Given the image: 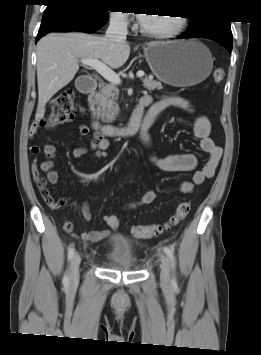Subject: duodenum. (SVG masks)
<instances>
[{
  "label": "duodenum",
  "mask_w": 261,
  "mask_h": 355,
  "mask_svg": "<svg viewBox=\"0 0 261 355\" xmlns=\"http://www.w3.org/2000/svg\"><path fill=\"white\" fill-rule=\"evenodd\" d=\"M98 84L96 80L88 76L82 77L77 82V89L81 93H92L97 88ZM140 102V101H139ZM140 104L134 110L129 123L123 126L113 124H102L95 118H91V126L94 130L103 133L108 137H129L135 135L139 130H143L144 127L151 126V122L145 124L142 113L138 111Z\"/></svg>",
  "instance_id": "1"
}]
</instances>
